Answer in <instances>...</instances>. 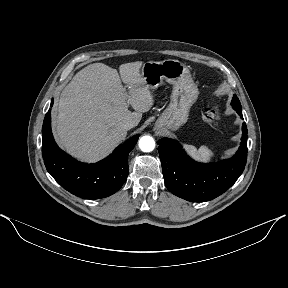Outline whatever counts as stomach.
<instances>
[{
    "label": "stomach",
    "mask_w": 288,
    "mask_h": 288,
    "mask_svg": "<svg viewBox=\"0 0 288 288\" xmlns=\"http://www.w3.org/2000/svg\"><path fill=\"white\" fill-rule=\"evenodd\" d=\"M141 76L149 89L158 88L163 81L173 85L171 101L157 119L155 127L165 131L178 130L188 121L190 108L198 97V88L188 67L173 59L149 61L143 64Z\"/></svg>",
    "instance_id": "1"
}]
</instances>
